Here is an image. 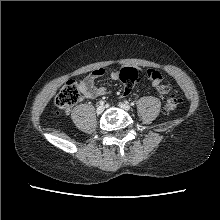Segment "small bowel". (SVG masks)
<instances>
[{
    "instance_id": "obj_1",
    "label": "small bowel",
    "mask_w": 220,
    "mask_h": 220,
    "mask_svg": "<svg viewBox=\"0 0 220 220\" xmlns=\"http://www.w3.org/2000/svg\"><path fill=\"white\" fill-rule=\"evenodd\" d=\"M105 74H108L109 77L113 80H118L120 76V71L119 70H113V71H106L103 68H98L93 70L86 78H84L80 84V90L82 92V95L84 98L87 99H93L95 97L104 95L107 93L106 88L104 87H97L95 85V81L104 76ZM161 83L159 80H152V86L156 87ZM123 96H127L128 94L122 93Z\"/></svg>"
}]
</instances>
